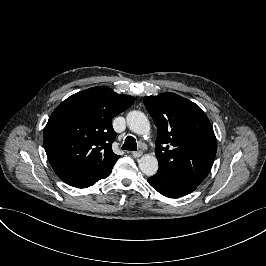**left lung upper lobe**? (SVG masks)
<instances>
[{"label": "left lung upper lobe", "instance_id": "1", "mask_svg": "<svg viewBox=\"0 0 266 266\" xmlns=\"http://www.w3.org/2000/svg\"><path fill=\"white\" fill-rule=\"evenodd\" d=\"M157 127L159 169L200 184L213 165L217 142L205 113L174 93L144 97Z\"/></svg>", "mask_w": 266, "mask_h": 266}]
</instances>
